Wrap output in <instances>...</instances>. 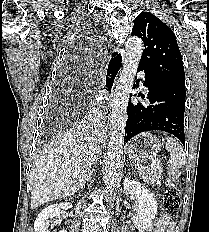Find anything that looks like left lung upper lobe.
Here are the masks:
<instances>
[{"mask_svg": "<svg viewBox=\"0 0 209 232\" xmlns=\"http://www.w3.org/2000/svg\"><path fill=\"white\" fill-rule=\"evenodd\" d=\"M132 35L141 38L145 46L139 66L162 82L185 88L182 57L173 31L158 17L143 11L135 18Z\"/></svg>", "mask_w": 209, "mask_h": 232, "instance_id": "left-lung-upper-lobe-1", "label": "left lung upper lobe"}]
</instances>
